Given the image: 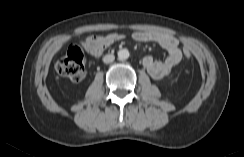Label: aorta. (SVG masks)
I'll list each match as a JSON object with an SVG mask.
<instances>
[{
    "label": "aorta",
    "instance_id": "obj_1",
    "mask_svg": "<svg viewBox=\"0 0 244 157\" xmlns=\"http://www.w3.org/2000/svg\"><path fill=\"white\" fill-rule=\"evenodd\" d=\"M117 54L120 60H126L129 58L130 55L127 49H120Z\"/></svg>",
    "mask_w": 244,
    "mask_h": 157
}]
</instances>
